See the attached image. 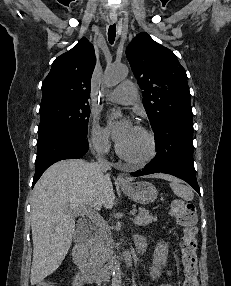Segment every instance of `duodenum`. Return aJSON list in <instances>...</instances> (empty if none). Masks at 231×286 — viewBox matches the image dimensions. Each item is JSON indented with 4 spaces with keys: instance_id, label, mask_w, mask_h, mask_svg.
I'll use <instances>...</instances> for the list:
<instances>
[{
    "instance_id": "1",
    "label": "duodenum",
    "mask_w": 231,
    "mask_h": 286,
    "mask_svg": "<svg viewBox=\"0 0 231 286\" xmlns=\"http://www.w3.org/2000/svg\"><path fill=\"white\" fill-rule=\"evenodd\" d=\"M89 244L90 234L88 232H84L80 236L72 251V258L75 265L79 269L84 280L89 284L109 281L113 266H107L98 270L89 264L86 258ZM136 244V250L127 252L122 258V265L125 269H130L134 262L138 259L139 255H141L144 251L145 242L143 239L138 238Z\"/></svg>"
}]
</instances>
